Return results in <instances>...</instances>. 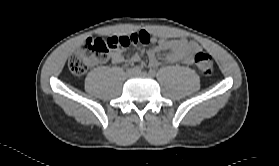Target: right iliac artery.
<instances>
[{
    "mask_svg": "<svg viewBox=\"0 0 279 166\" xmlns=\"http://www.w3.org/2000/svg\"><path fill=\"white\" fill-rule=\"evenodd\" d=\"M133 70L136 72V73H139V72H141V67L140 66H135L134 68H133Z\"/></svg>",
    "mask_w": 279,
    "mask_h": 166,
    "instance_id": "obj_1",
    "label": "right iliac artery"
}]
</instances>
